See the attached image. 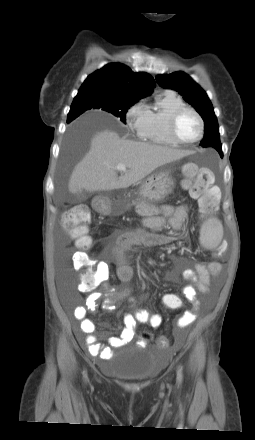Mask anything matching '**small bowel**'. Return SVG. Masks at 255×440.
Segmentation results:
<instances>
[{
	"mask_svg": "<svg viewBox=\"0 0 255 440\" xmlns=\"http://www.w3.org/2000/svg\"><path fill=\"white\" fill-rule=\"evenodd\" d=\"M162 214L160 216H150L144 219L143 229L127 231L118 236L116 244L113 248V260L116 266V275L119 281L127 284L132 276L133 269L127 261V253L138 245L158 246L169 243L170 236L161 232L163 226L168 221L170 227L178 231L182 228L188 209L186 206L173 207L165 205L161 207ZM96 284L107 281L110 277V265L106 261H99L96 264ZM221 271V264L217 261H211L208 264L196 263L194 269H185L181 272L184 280L191 282L183 287L182 294L184 298L192 304L193 307L199 306L197 291L206 293L209 291L210 280L212 276H217ZM173 277L175 275H172ZM131 289L127 286L115 288L110 285L104 286L105 300L102 308L105 311H111L113 305L123 298L130 297ZM102 294L92 293L87 298L86 306H77L73 310L74 318L80 322V330L86 336L81 339V343L86 347L87 351L102 360L113 358V348L130 342L134 338L136 323L148 324L151 327L160 326L162 319L159 314L150 313L146 309H136L132 314H126L124 317L125 328L118 337H110L108 345L100 344L93 335L95 331V323L87 317L88 310L95 311L98 309V300ZM162 298H181L175 293H166ZM133 302V298L130 297ZM196 319V312L193 310L185 311L177 320L179 328H185ZM144 344L142 340L140 342Z\"/></svg>",
	"mask_w": 255,
	"mask_h": 440,
	"instance_id": "c3829d8e",
	"label": "small bowel"
}]
</instances>
